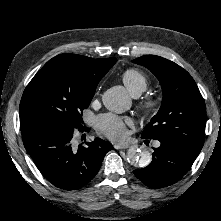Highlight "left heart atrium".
<instances>
[{
    "instance_id": "39dd6f15",
    "label": "left heart atrium",
    "mask_w": 221,
    "mask_h": 221,
    "mask_svg": "<svg viewBox=\"0 0 221 221\" xmlns=\"http://www.w3.org/2000/svg\"><path fill=\"white\" fill-rule=\"evenodd\" d=\"M97 130L114 141H122L127 137L128 126L132 125L129 118L114 114H102L96 118Z\"/></svg>"
}]
</instances>
